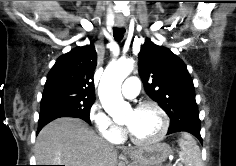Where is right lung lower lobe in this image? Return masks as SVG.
<instances>
[{"instance_id":"obj_1","label":"right lung lower lobe","mask_w":236,"mask_h":166,"mask_svg":"<svg viewBox=\"0 0 236 166\" xmlns=\"http://www.w3.org/2000/svg\"><path fill=\"white\" fill-rule=\"evenodd\" d=\"M70 117L80 118V117H77V116H70ZM80 119H82V118H80ZM47 123H49V122H45V123L39 124L37 133H38Z\"/></svg>"}]
</instances>
